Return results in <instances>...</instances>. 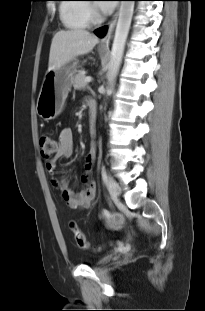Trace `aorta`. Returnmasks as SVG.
I'll return each mask as SVG.
<instances>
[{
    "label": "aorta",
    "mask_w": 205,
    "mask_h": 311,
    "mask_svg": "<svg viewBox=\"0 0 205 311\" xmlns=\"http://www.w3.org/2000/svg\"><path fill=\"white\" fill-rule=\"evenodd\" d=\"M133 10H134V1H121L118 22L111 49L110 61L108 63L107 94H109L112 91L113 84L115 82V79L117 77L121 65L125 43L127 40L133 16Z\"/></svg>",
    "instance_id": "obj_1"
}]
</instances>
